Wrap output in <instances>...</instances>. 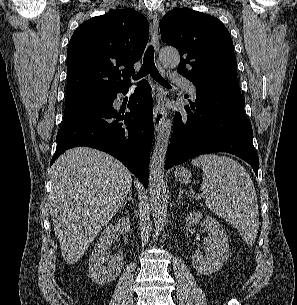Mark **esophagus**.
<instances>
[{
    "instance_id": "1",
    "label": "esophagus",
    "mask_w": 297,
    "mask_h": 305,
    "mask_svg": "<svg viewBox=\"0 0 297 305\" xmlns=\"http://www.w3.org/2000/svg\"><path fill=\"white\" fill-rule=\"evenodd\" d=\"M150 17L152 19L151 36H152V43H153L155 51H156V65H157L159 72L165 76L166 75L165 69L162 66V64L159 61L158 56H157L159 47H160L158 15L156 12H152L150 14ZM167 97H168L167 91L160 85H156V100H155V105H154V110H153V121H154V128H155L156 132H159V130L161 129V127L165 121L166 112H165L164 104L167 100Z\"/></svg>"
}]
</instances>
